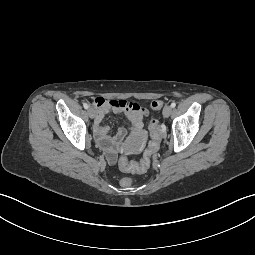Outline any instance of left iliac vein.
<instances>
[{"instance_id":"4c4485c4","label":"left iliac vein","mask_w":255,"mask_h":255,"mask_svg":"<svg viewBox=\"0 0 255 255\" xmlns=\"http://www.w3.org/2000/svg\"><path fill=\"white\" fill-rule=\"evenodd\" d=\"M171 112H172V107L169 106V105H166V106L164 107L162 113H163V116H164L165 118H168V117L170 116Z\"/></svg>"}]
</instances>
